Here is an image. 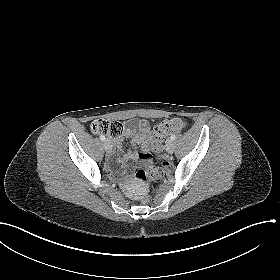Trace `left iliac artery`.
I'll list each match as a JSON object with an SVG mask.
<instances>
[{
    "label": "left iliac artery",
    "instance_id": "left-iliac-artery-1",
    "mask_svg": "<svg viewBox=\"0 0 280 280\" xmlns=\"http://www.w3.org/2000/svg\"><path fill=\"white\" fill-rule=\"evenodd\" d=\"M170 139H171L172 141L175 140V139H176V135H175V134L171 135Z\"/></svg>",
    "mask_w": 280,
    "mask_h": 280
}]
</instances>
